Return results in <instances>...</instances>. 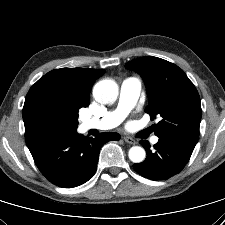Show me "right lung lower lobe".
I'll return each instance as SVG.
<instances>
[{
  "mask_svg": "<svg viewBox=\"0 0 225 225\" xmlns=\"http://www.w3.org/2000/svg\"><path fill=\"white\" fill-rule=\"evenodd\" d=\"M115 132L86 138L77 131L43 130L26 139L41 173L59 187H76L92 178L97 169L100 148L119 140Z\"/></svg>",
  "mask_w": 225,
  "mask_h": 225,
  "instance_id": "right-lung-lower-lobe-1",
  "label": "right lung lower lobe"
}]
</instances>
